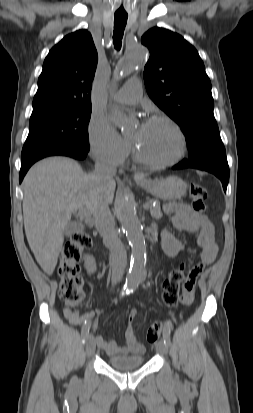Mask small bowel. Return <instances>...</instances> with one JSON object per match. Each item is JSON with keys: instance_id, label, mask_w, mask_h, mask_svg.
<instances>
[{"instance_id": "c3829d8e", "label": "small bowel", "mask_w": 253, "mask_h": 413, "mask_svg": "<svg viewBox=\"0 0 253 413\" xmlns=\"http://www.w3.org/2000/svg\"><path fill=\"white\" fill-rule=\"evenodd\" d=\"M164 209L166 213L172 214V224L177 230L198 233L197 248L200 249L201 262L194 266L190 273L184 274L179 286L180 303L185 309H190L195 299L196 281L204 267L210 265L216 259L218 246L214 241L213 227L208 219L195 213L188 204L181 202L168 203ZM161 240L165 253L170 257H176L182 253H195L197 251V248L174 238L167 230L162 231ZM64 315L72 325L81 327L82 331L88 327L90 328L94 320L93 312L79 314L77 310L66 308ZM134 318L135 311H132L125 330L127 346L122 347L115 341H108L102 336H96L95 342L97 346L110 356L127 353L143 354L145 347L134 334Z\"/></svg>"}]
</instances>
